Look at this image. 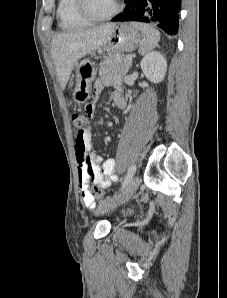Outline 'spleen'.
<instances>
[{"instance_id": "1", "label": "spleen", "mask_w": 227, "mask_h": 298, "mask_svg": "<svg viewBox=\"0 0 227 298\" xmlns=\"http://www.w3.org/2000/svg\"><path fill=\"white\" fill-rule=\"evenodd\" d=\"M132 25L142 33L143 40L139 47V53L145 55L152 51L160 40V32L148 24L134 22Z\"/></svg>"}]
</instances>
